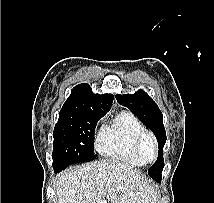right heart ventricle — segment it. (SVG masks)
<instances>
[{
    "label": "right heart ventricle",
    "mask_w": 214,
    "mask_h": 203,
    "mask_svg": "<svg viewBox=\"0 0 214 203\" xmlns=\"http://www.w3.org/2000/svg\"><path fill=\"white\" fill-rule=\"evenodd\" d=\"M145 127L129 111L119 112L108 124L103 126L96 138V147L105 157L122 163L140 167L145 165L137 156L134 143Z\"/></svg>",
    "instance_id": "e07e8e85"
}]
</instances>
